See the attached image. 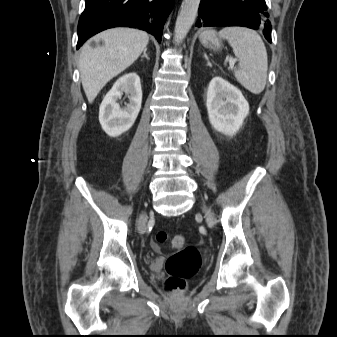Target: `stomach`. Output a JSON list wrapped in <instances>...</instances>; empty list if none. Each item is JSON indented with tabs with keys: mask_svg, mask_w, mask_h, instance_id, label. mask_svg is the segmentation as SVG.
I'll list each match as a JSON object with an SVG mask.
<instances>
[{
	"mask_svg": "<svg viewBox=\"0 0 337 337\" xmlns=\"http://www.w3.org/2000/svg\"><path fill=\"white\" fill-rule=\"evenodd\" d=\"M200 42L205 48L218 51L221 49L222 41L213 30H205L199 36Z\"/></svg>",
	"mask_w": 337,
	"mask_h": 337,
	"instance_id": "obj_1",
	"label": "stomach"
}]
</instances>
